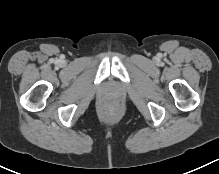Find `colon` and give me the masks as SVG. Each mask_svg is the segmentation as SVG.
I'll return each instance as SVG.
<instances>
[{
    "instance_id": "5ec220e1",
    "label": "colon",
    "mask_w": 219,
    "mask_h": 174,
    "mask_svg": "<svg viewBox=\"0 0 219 174\" xmlns=\"http://www.w3.org/2000/svg\"><path fill=\"white\" fill-rule=\"evenodd\" d=\"M114 109H115V106H114V105H107V106L105 107V112H106V113H112V112L114 111Z\"/></svg>"
}]
</instances>
